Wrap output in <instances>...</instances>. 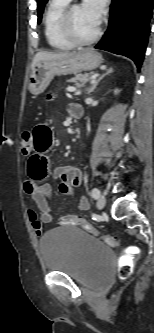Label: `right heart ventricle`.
I'll list each match as a JSON object with an SVG mask.
<instances>
[{
	"instance_id": "obj_1",
	"label": "right heart ventricle",
	"mask_w": 154,
	"mask_h": 333,
	"mask_svg": "<svg viewBox=\"0 0 154 333\" xmlns=\"http://www.w3.org/2000/svg\"><path fill=\"white\" fill-rule=\"evenodd\" d=\"M71 0H50L44 13L43 26L47 43L55 50H70L76 45L68 41L60 30V17Z\"/></svg>"
}]
</instances>
